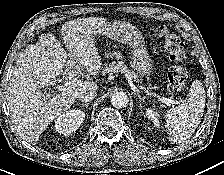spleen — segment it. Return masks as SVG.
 I'll list each match as a JSON object with an SVG mask.
<instances>
[{
    "label": "spleen",
    "instance_id": "spleen-1",
    "mask_svg": "<svg viewBox=\"0 0 224 175\" xmlns=\"http://www.w3.org/2000/svg\"><path fill=\"white\" fill-rule=\"evenodd\" d=\"M205 99L204 87L196 80L191 85L188 99L166 113L168 138L172 144L181 143L196 130L204 113Z\"/></svg>",
    "mask_w": 224,
    "mask_h": 175
}]
</instances>
